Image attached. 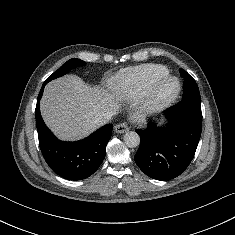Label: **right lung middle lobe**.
Segmentation results:
<instances>
[{
    "label": "right lung middle lobe",
    "instance_id": "right-lung-middle-lobe-1",
    "mask_svg": "<svg viewBox=\"0 0 235 235\" xmlns=\"http://www.w3.org/2000/svg\"><path fill=\"white\" fill-rule=\"evenodd\" d=\"M84 64L85 62L80 59H77V58L70 59L62 67H60L57 71H55L52 75H50L44 83H48L49 81L55 78L61 77L65 75L72 68L76 66L84 65Z\"/></svg>",
    "mask_w": 235,
    "mask_h": 235
}]
</instances>
